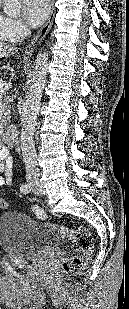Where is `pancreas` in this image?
I'll return each instance as SVG.
<instances>
[{
    "label": "pancreas",
    "instance_id": "obj_1",
    "mask_svg": "<svg viewBox=\"0 0 129 309\" xmlns=\"http://www.w3.org/2000/svg\"><path fill=\"white\" fill-rule=\"evenodd\" d=\"M7 83L4 79L0 78V84ZM3 91V99H0V101L5 102L8 97L6 96L8 89L5 87L0 88V92ZM0 128H3L4 126L8 125V122H10V108L5 105V103L0 104Z\"/></svg>",
    "mask_w": 129,
    "mask_h": 309
}]
</instances>
